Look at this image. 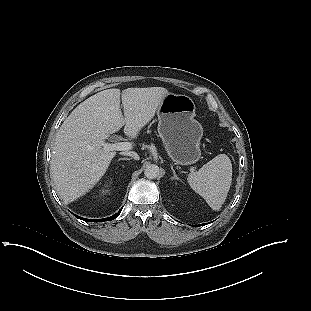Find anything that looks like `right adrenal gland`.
Returning <instances> with one entry per match:
<instances>
[{
    "label": "right adrenal gland",
    "mask_w": 311,
    "mask_h": 311,
    "mask_svg": "<svg viewBox=\"0 0 311 311\" xmlns=\"http://www.w3.org/2000/svg\"><path fill=\"white\" fill-rule=\"evenodd\" d=\"M120 160H130V159L124 157V158H120L118 161Z\"/></svg>",
    "instance_id": "obj_1"
}]
</instances>
